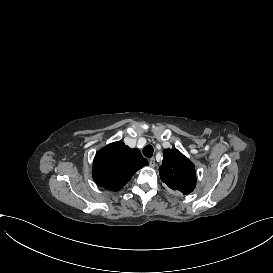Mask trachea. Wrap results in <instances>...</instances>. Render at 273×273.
I'll list each match as a JSON object with an SVG mask.
<instances>
[{"label":"trachea","instance_id":"obj_1","mask_svg":"<svg viewBox=\"0 0 273 273\" xmlns=\"http://www.w3.org/2000/svg\"><path fill=\"white\" fill-rule=\"evenodd\" d=\"M153 153H154V149L151 145H146L144 148H143V155L147 158H150L153 156Z\"/></svg>","mask_w":273,"mask_h":273}]
</instances>
